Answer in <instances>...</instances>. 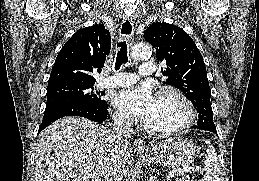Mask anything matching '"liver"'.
<instances>
[{"label":"liver","mask_w":259,"mask_h":181,"mask_svg":"<svg viewBox=\"0 0 259 181\" xmlns=\"http://www.w3.org/2000/svg\"><path fill=\"white\" fill-rule=\"evenodd\" d=\"M115 149L113 133L80 117L62 118L37 139L35 181H106ZM123 174L132 163L129 145L120 154Z\"/></svg>","instance_id":"liver-1"}]
</instances>
